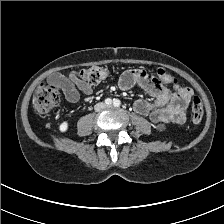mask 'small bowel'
<instances>
[{"label": "small bowel", "instance_id": "1", "mask_svg": "<svg viewBox=\"0 0 224 224\" xmlns=\"http://www.w3.org/2000/svg\"><path fill=\"white\" fill-rule=\"evenodd\" d=\"M49 82L59 87L71 103L79 101L78 91L86 95L92 93V87L82 80L76 71L68 78L55 74ZM134 85L140 86L153 97V101L140 99L135 102L134 109L138 114L148 117L155 124H181L185 121L186 109L193 94L190 88L179 84L173 87L162 86L144 70L131 69L124 72L119 80L120 89L128 90Z\"/></svg>", "mask_w": 224, "mask_h": 224}]
</instances>
